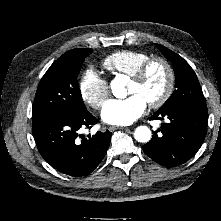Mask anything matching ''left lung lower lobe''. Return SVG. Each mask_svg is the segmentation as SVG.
<instances>
[{"mask_svg": "<svg viewBox=\"0 0 221 221\" xmlns=\"http://www.w3.org/2000/svg\"><path fill=\"white\" fill-rule=\"evenodd\" d=\"M206 105L187 104L168 111H157L150 120H163L162 127L142 149L152 160L168 168L185 163L201 147L207 133Z\"/></svg>", "mask_w": 221, "mask_h": 221, "instance_id": "1", "label": "left lung lower lobe"}]
</instances>
